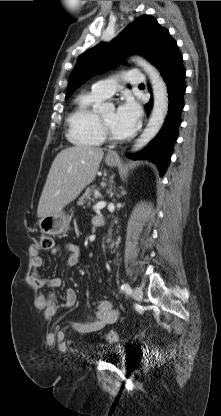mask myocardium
Segmentation results:
<instances>
[{"label":"myocardium","mask_w":221,"mask_h":416,"mask_svg":"<svg viewBox=\"0 0 221 416\" xmlns=\"http://www.w3.org/2000/svg\"><path fill=\"white\" fill-rule=\"evenodd\" d=\"M98 121H99L100 129H101L104 139L113 143H121L126 140V137L114 136L109 126L106 124V122L103 120L100 114H98Z\"/></svg>","instance_id":"f54148a6"}]
</instances>
